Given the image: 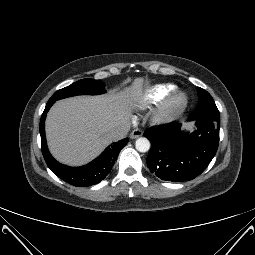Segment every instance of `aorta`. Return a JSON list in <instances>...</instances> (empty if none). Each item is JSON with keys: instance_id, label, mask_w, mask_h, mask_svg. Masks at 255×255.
Returning a JSON list of instances; mask_svg holds the SVG:
<instances>
[{"instance_id": "1", "label": "aorta", "mask_w": 255, "mask_h": 255, "mask_svg": "<svg viewBox=\"0 0 255 255\" xmlns=\"http://www.w3.org/2000/svg\"><path fill=\"white\" fill-rule=\"evenodd\" d=\"M136 149L139 152H147L150 149V141L145 137H140L135 142Z\"/></svg>"}]
</instances>
